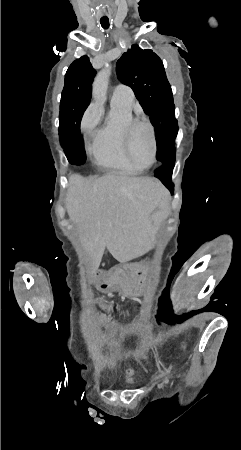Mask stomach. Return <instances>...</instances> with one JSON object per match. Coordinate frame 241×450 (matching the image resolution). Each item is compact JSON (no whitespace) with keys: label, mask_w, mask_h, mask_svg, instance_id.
Listing matches in <instances>:
<instances>
[{"label":"stomach","mask_w":241,"mask_h":450,"mask_svg":"<svg viewBox=\"0 0 241 450\" xmlns=\"http://www.w3.org/2000/svg\"><path fill=\"white\" fill-rule=\"evenodd\" d=\"M111 284L118 290H139L150 285L148 263L121 265L111 274Z\"/></svg>","instance_id":"stomach-1"}]
</instances>
